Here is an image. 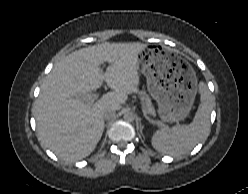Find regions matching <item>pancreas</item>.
I'll list each match as a JSON object with an SVG mask.
<instances>
[{"mask_svg": "<svg viewBox=\"0 0 248 194\" xmlns=\"http://www.w3.org/2000/svg\"><path fill=\"white\" fill-rule=\"evenodd\" d=\"M139 94L141 96V99L145 102L143 105L144 114L155 115V109L150 97L145 92H140Z\"/></svg>", "mask_w": 248, "mask_h": 194, "instance_id": "obj_1", "label": "pancreas"}]
</instances>
